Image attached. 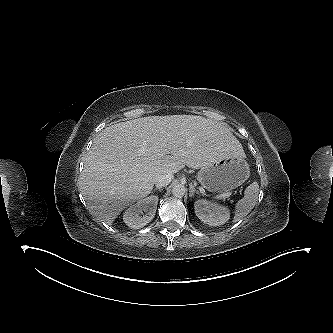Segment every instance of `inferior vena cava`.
<instances>
[{
    "label": "inferior vena cava",
    "instance_id": "1",
    "mask_svg": "<svg viewBox=\"0 0 333 333\" xmlns=\"http://www.w3.org/2000/svg\"><path fill=\"white\" fill-rule=\"evenodd\" d=\"M173 179L172 174H159L154 180V184L157 188H162L167 186Z\"/></svg>",
    "mask_w": 333,
    "mask_h": 333
}]
</instances>
